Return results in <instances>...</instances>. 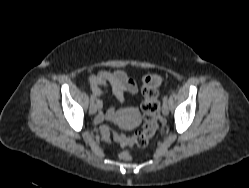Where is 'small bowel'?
Here are the masks:
<instances>
[{
	"label": "small bowel",
	"instance_id": "obj_1",
	"mask_svg": "<svg viewBox=\"0 0 249 188\" xmlns=\"http://www.w3.org/2000/svg\"><path fill=\"white\" fill-rule=\"evenodd\" d=\"M89 86L94 95L98 97L97 107L99 113L96 122L114 121L116 113L113 107L104 108V102L100 99L104 95L107 83L111 85L112 92L116 99L123 103L125 94L135 95L138 91L135 81L130 78L124 71L100 70L89 76Z\"/></svg>",
	"mask_w": 249,
	"mask_h": 188
}]
</instances>
